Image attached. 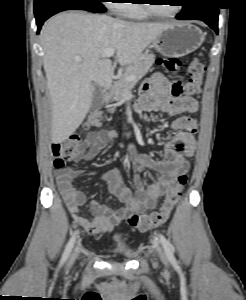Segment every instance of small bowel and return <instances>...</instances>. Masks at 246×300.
Returning <instances> with one entry per match:
<instances>
[{
	"label": "small bowel",
	"instance_id": "1",
	"mask_svg": "<svg viewBox=\"0 0 246 300\" xmlns=\"http://www.w3.org/2000/svg\"><path fill=\"white\" fill-rule=\"evenodd\" d=\"M180 87L179 82L170 81L163 74L155 73L144 81L140 98L135 103L134 109L136 111L158 110L169 115L195 111L197 102L191 96L182 95ZM171 128L174 133L164 147L162 160L147 155L136 156L139 169L150 170L156 177L151 184L146 185L137 175L134 179L135 195L123 184L119 168L99 175V179L107 183L109 192L123 205V208L113 209L107 204L92 202L90 210L94 218L91 221L80 214V207L85 204L86 196L73 185L74 178L80 175L81 171L71 167L57 169L56 181L74 221L83 226L89 234H103L124 221L129 213L153 209L175 177L187 171L188 158L196 149L197 123L194 118L182 115L171 123ZM129 134L127 131L126 135ZM117 136L114 130L90 133L84 141L80 159L92 160L110 140Z\"/></svg>",
	"mask_w": 246,
	"mask_h": 300
}]
</instances>
